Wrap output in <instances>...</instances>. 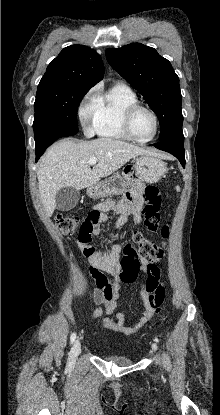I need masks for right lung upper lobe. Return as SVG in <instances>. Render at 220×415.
Masks as SVG:
<instances>
[{"label": "right lung upper lobe", "instance_id": "obj_1", "mask_svg": "<svg viewBox=\"0 0 220 415\" xmlns=\"http://www.w3.org/2000/svg\"><path fill=\"white\" fill-rule=\"evenodd\" d=\"M104 76L100 55L84 45L64 48L48 65L39 85H69L90 89Z\"/></svg>", "mask_w": 220, "mask_h": 415}]
</instances>
